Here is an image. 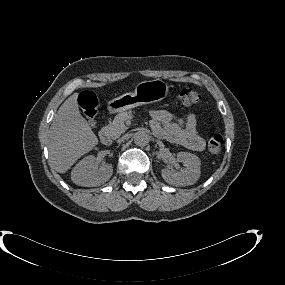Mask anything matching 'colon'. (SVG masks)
<instances>
[{"label":"colon","mask_w":285,"mask_h":285,"mask_svg":"<svg viewBox=\"0 0 285 285\" xmlns=\"http://www.w3.org/2000/svg\"><path fill=\"white\" fill-rule=\"evenodd\" d=\"M179 98L184 106H193L201 99L199 91L192 87H184L179 92ZM80 106L92 126H95V118L98 110V101L96 96L91 92H83L79 98ZM207 150L212 154H217L222 148V137L215 134L206 141Z\"/></svg>","instance_id":"5ec220e1"}]
</instances>
